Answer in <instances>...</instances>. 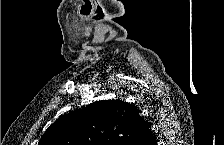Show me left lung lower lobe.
Returning <instances> with one entry per match:
<instances>
[{
    "label": "left lung lower lobe",
    "mask_w": 224,
    "mask_h": 145,
    "mask_svg": "<svg viewBox=\"0 0 224 145\" xmlns=\"http://www.w3.org/2000/svg\"><path fill=\"white\" fill-rule=\"evenodd\" d=\"M156 139L153 136L150 127L146 121H141L140 129L135 135L131 145H156Z\"/></svg>",
    "instance_id": "left-lung-lower-lobe-1"
}]
</instances>
